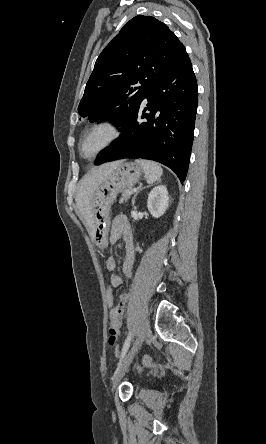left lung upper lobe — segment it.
I'll use <instances>...</instances> for the list:
<instances>
[{"instance_id": "5c2ea615", "label": "left lung upper lobe", "mask_w": 266, "mask_h": 444, "mask_svg": "<svg viewBox=\"0 0 266 444\" xmlns=\"http://www.w3.org/2000/svg\"><path fill=\"white\" fill-rule=\"evenodd\" d=\"M186 54L164 23L151 16L134 17L97 58L79 114L90 122L106 119L123 125L150 88Z\"/></svg>"}]
</instances>
